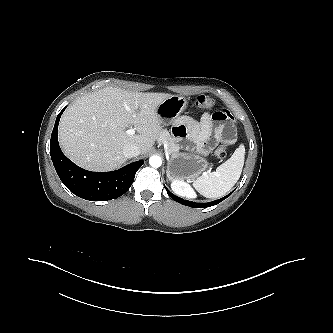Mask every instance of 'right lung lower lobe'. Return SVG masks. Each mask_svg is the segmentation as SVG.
I'll use <instances>...</instances> for the list:
<instances>
[{
	"instance_id": "1",
	"label": "right lung lower lobe",
	"mask_w": 333,
	"mask_h": 333,
	"mask_svg": "<svg viewBox=\"0 0 333 333\" xmlns=\"http://www.w3.org/2000/svg\"><path fill=\"white\" fill-rule=\"evenodd\" d=\"M65 108L57 116L50 140V155L59 178L72 193L86 200L105 201L123 195L144 161L111 172H92L75 165L62 153L58 143V124Z\"/></svg>"
}]
</instances>
